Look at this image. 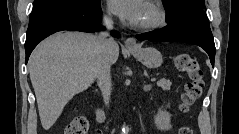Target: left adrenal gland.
Wrapping results in <instances>:
<instances>
[{
  "mask_svg": "<svg viewBox=\"0 0 239 134\" xmlns=\"http://www.w3.org/2000/svg\"><path fill=\"white\" fill-rule=\"evenodd\" d=\"M151 88H152L151 85H145V86H144V90H145V91H150Z\"/></svg>",
  "mask_w": 239,
  "mask_h": 134,
  "instance_id": "a2214340",
  "label": "left adrenal gland"
}]
</instances>
